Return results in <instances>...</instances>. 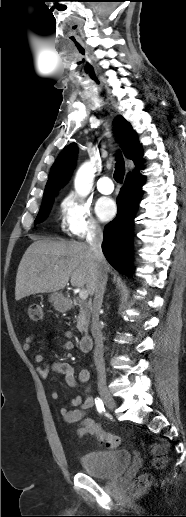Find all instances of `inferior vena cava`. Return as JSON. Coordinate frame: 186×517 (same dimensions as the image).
Segmentation results:
<instances>
[{
    "label": "inferior vena cava",
    "mask_w": 186,
    "mask_h": 517,
    "mask_svg": "<svg viewBox=\"0 0 186 517\" xmlns=\"http://www.w3.org/2000/svg\"><path fill=\"white\" fill-rule=\"evenodd\" d=\"M103 233L99 226L95 225L87 238V242L96 261V271L94 279V300L92 306L91 333L95 341L94 362L99 379L105 380V363L103 350V334L99 321V311L103 302V295L107 283V271L105 269L106 260L102 252Z\"/></svg>",
    "instance_id": "1"
}]
</instances>
